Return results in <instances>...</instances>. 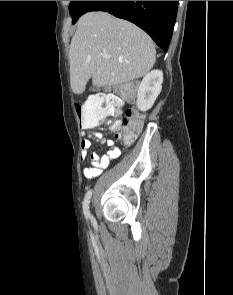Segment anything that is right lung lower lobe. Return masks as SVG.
Wrapping results in <instances>:
<instances>
[{
    "label": "right lung lower lobe",
    "instance_id": "98d812e1",
    "mask_svg": "<svg viewBox=\"0 0 233 295\" xmlns=\"http://www.w3.org/2000/svg\"><path fill=\"white\" fill-rule=\"evenodd\" d=\"M178 1H87L82 15L105 11L133 22L167 52L172 37Z\"/></svg>",
    "mask_w": 233,
    "mask_h": 295
}]
</instances>
